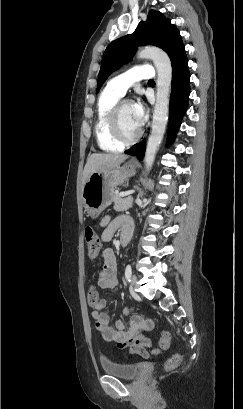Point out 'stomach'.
<instances>
[{
	"instance_id": "0dacf381",
	"label": "stomach",
	"mask_w": 243,
	"mask_h": 409,
	"mask_svg": "<svg viewBox=\"0 0 243 409\" xmlns=\"http://www.w3.org/2000/svg\"><path fill=\"white\" fill-rule=\"evenodd\" d=\"M135 173L136 165L131 162L104 172H93L82 188V200L88 216L97 218L112 203L117 186Z\"/></svg>"
}]
</instances>
